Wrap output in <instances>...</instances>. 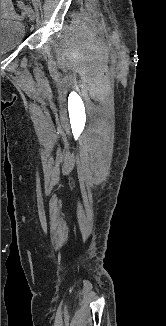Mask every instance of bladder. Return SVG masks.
<instances>
[{
	"instance_id": "31cf9c89",
	"label": "bladder",
	"mask_w": 166,
	"mask_h": 326,
	"mask_svg": "<svg viewBox=\"0 0 166 326\" xmlns=\"http://www.w3.org/2000/svg\"><path fill=\"white\" fill-rule=\"evenodd\" d=\"M24 35V26L17 18L1 19V55L16 49Z\"/></svg>"
}]
</instances>
